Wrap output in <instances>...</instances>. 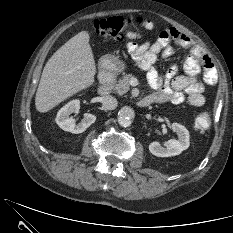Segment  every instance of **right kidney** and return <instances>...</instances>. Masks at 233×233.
<instances>
[{
  "mask_svg": "<svg viewBox=\"0 0 233 233\" xmlns=\"http://www.w3.org/2000/svg\"><path fill=\"white\" fill-rule=\"evenodd\" d=\"M80 109V101L72 100L63 106L57 113L56 123L60 128L65 131H69L74 134L84 132L91 124L96 120V116L93 114L85 113L83 120L76 124L72 116V113H77Z\"/></svg>",
  "mask_w": 233,
  "mask_h": 233,
  "instance_id": "1",
  "label": "right kidney"
}]
</instances>
